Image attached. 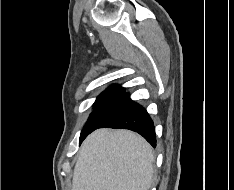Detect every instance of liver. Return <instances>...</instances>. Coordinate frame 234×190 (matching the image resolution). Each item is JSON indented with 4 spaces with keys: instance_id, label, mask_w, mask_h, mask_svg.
<instances>
[{
    "instance_id": "liver-1",
    "label": "liver",
    "mask_w": 234,
    "mask_h": 190,
    "mask_svg": "<svg viewBox=\"0 0 234 190\" xmlns=\"http://www.w3.org/2000/svg\"><path fill=\"white\" fill-rule=\"evenodd\" d=\"M154 160L152 147L137 133L98 129L81 146L72 190H149Z\"/></svg>"
}]
</instances>
